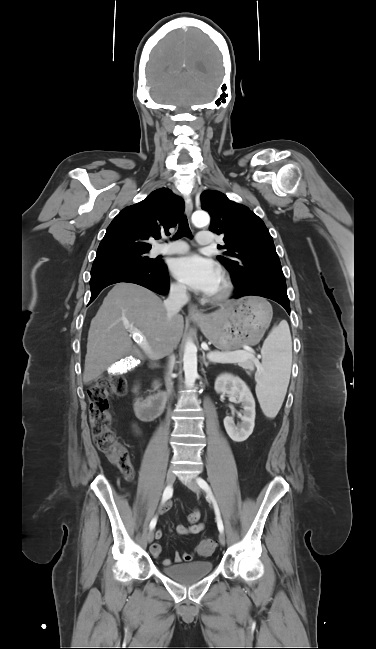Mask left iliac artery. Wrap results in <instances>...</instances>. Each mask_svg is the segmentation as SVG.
<instances>
[{
	"instance_id": "obj_1",
	"label": "left iliac artery",
	"mask_w": 376,
	"mask_h": 649,
	"mask_svg": "<svg viewBox=\"0 0 376 649\" xmlns=\"http://www.w3.org/2000/svg\"><path fill=\"white\" fill-rule=\"evenodd\" d=\"M197 483L207 493L208 498L213 502V506H214V510H215V514H216L217 526H218L219 531L223 532L224 526H223V522H222V519H221L219 507H218L217 502H216V500H215V498H214V496H213V494L211 492V489H210L208 483L202 478H198Z\"/></svg>"
}]
</instances>
